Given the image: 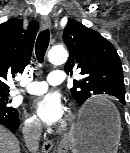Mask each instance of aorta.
<instances>
[{"label":"aorta","instance_id":"aorta-1","mask_svg":"<svg viewBox=\"0 0 130 153\" xmlns=\"http://www.w3.org/2000/svg\"><path fill=\"white\" fill-rule=\"evenodd\" d=\"M68 53L61 46L52 47L48 52V59L52 64H63L67 61Z\"/></svg>","mask_w":130,"mask_h":153}]
</instances>
